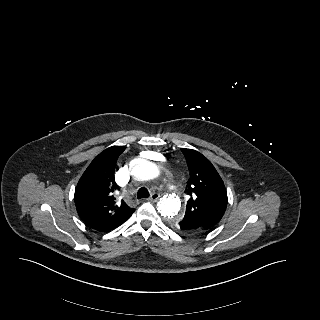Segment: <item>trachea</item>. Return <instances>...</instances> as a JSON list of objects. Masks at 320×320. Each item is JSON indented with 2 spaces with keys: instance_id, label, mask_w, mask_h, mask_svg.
<instances>
[{
  "instance_id": "3493384b",
  "label": "trachea",
  "mask_w": 320,
  "mask_h": 320,
  "mask_svg": "<svg viewBox=\"0 0 320 320\" xmlns=\"http://www.w3.org/2000/svg\"><path fill=\"white\" fill-rule=\"evenodd\" d=\"M149 195H150V194H149V191H148L146 188H144V187L140 188V189L138 190V192H137V198H138V199L148 198Z\"/></svg>"
}]
</instances>
